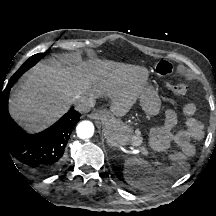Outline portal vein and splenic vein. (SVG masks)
Returning a JSON list of instances; mask_svg holds the SVG:
<instances>
[{
	"instance_id": "18ae733b",
	"label": "portal vein and splenic vein",
	"mask_w": 216,
	"mask_h": 216,
	"mask_svg": "<svg viewBox=\"0 0 216 216\" xmlns=\"http://www.w3.org/2000/svg\"><path fill=\"white\" fill-rule=\"evenodd\" d=\"M131 149H133L137 153L142 152L144 154H147V151L144 148H142V147L134 146V147H131Z\"/></svg>"
}]
</instances>
